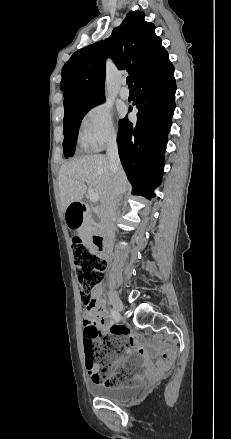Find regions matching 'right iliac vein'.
Returning <instances> with one entry per match:
<instances>
[{
	"mask_svg": "<svg viewBox=\"0 0 231 439\" xmlns=\"http://www.w3.org/2000/svg\"><path fill=\"white\" fill-rule=\"evenodd\" d=\"M109 299L114 308V320L120 321L121 320L120 311L123 309L122 302L118 298V296L114 293H110Z\"/></svg>",
	"mask_w": 231,
	"mask_h": 439,
	"instance_id": "63e3f726",
	"label": "right iliac vein"
}]
</instances>
